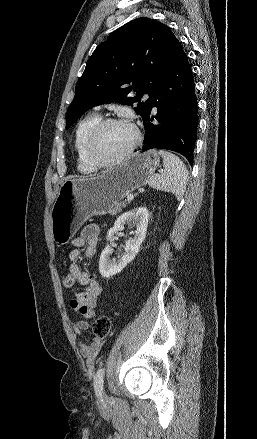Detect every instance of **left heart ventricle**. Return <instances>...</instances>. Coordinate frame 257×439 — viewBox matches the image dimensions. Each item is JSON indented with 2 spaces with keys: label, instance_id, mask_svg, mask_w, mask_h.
Segmentation results:
<instances>
[{
  "label": "left heart ventricle",
  "instance_id": "b2bd125f",
  "mask_svg": "<svg viewBox=\"0 0 257 439\" xmlns=\"http://www.w3.org/2000/svg\"><path fill=\"white\" fill-rule=\"evenodd\" d=\"M134 130L127 125H111L100 135L95 153L102 160H110L122 153L134 140Z\"/></svg>",
  "mask_w": 257,
  "mask_h": 439
}]
</instances>
